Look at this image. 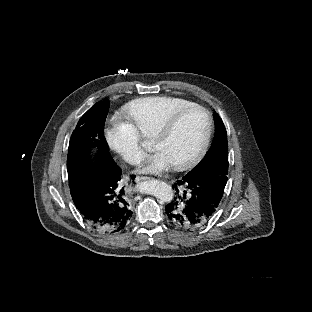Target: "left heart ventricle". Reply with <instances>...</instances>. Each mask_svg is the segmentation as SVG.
<instances>
[{
	"instance_id": "1",
	"label": "left heart ventricle",
	"mask_w": 312,
	"mask_h": 312,
	"mask_svg": "<svg viewBox=\"0 0 312 312\" xmlns=\"http://www.w3.org/2000/svg\"><path fill=\"white\" fill-rule=\"evenodd\" d=\"M209 134V120L201 111L180 115L161 140L162 151L177 163L191 160Z\"/></svg>"
}]
</instances>
